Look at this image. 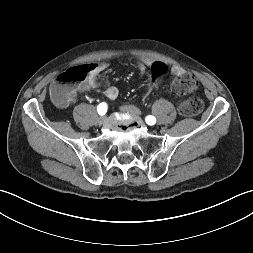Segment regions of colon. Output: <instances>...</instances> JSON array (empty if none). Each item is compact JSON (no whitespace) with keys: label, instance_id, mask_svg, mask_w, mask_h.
<instances>
[{"label":"colon","instance_id":"obj_1","mask_svg":"<svg viewBox=\"0 0 253 253\" xmlns=\"http://www.w3.org/2000/svg\"><path fill=\"white\" fill-rule=\"evenodd\" d=\"M151 84L147 85L142 92V98L148 99L149 95L156 91L158 83L156 76L167 74L168 65L154 61L151 63ZM91 67H74L61 73L54 85L51 88V97L53 101L59 105L68 104L74 97L75 85L86 79ZM198 86V80L195 75L183 72L181 75L175 77L171 82V90L174 94L184 96L193 91ZM203 109V102L200 98L190 97L184 98L180 101L178 110L183 116H194L199 114Z\"/></svg>","mask_w":253,"mask_h":253}]
</instances>
